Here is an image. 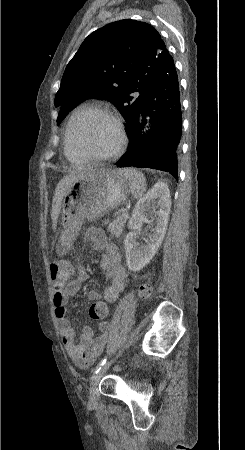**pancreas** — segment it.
Wrapping results in <instances>:
<instances>
[{
  "label": "pancreas",
  "instance_id": "1",
  "mask_svg": "<svg viewBox=\"0 0 245 450\" xmlns=\"http://www.w3.org/2000/svg\"><path fill=\"white\" fill-rule=\"evenodd\" d=\"M126 219L118 216L112 223L109 224L108 230L112 236L120 237L125 226Z\"/></svg>",
  "mask_w": 245,
  "mask_h": 450
}]
</instances>
